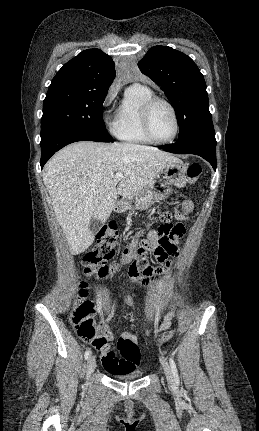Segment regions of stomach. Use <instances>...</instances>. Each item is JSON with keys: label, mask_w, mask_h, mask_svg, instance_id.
I'll use <instances>...</instances> for the list:
<instances>
[{"label": "stomach", "mask_w": 259, "mask_h": 431, "mask_svg": "<svg viewBox=\"0 0 259 431\" xmlns=\"http://www.w3.org/2000/svg\"><path fill=\"white\" fill-rule=\"evenodd\" d=\"M187 165L182 161L174 162L162 171L163 179L154 180L135 197L128 199L122 206L123 210H144L155 201L163 200L173 192V186L184 187L186 185Z\"/></svg>", "instance_id": "obj_1"}]
</instances>
